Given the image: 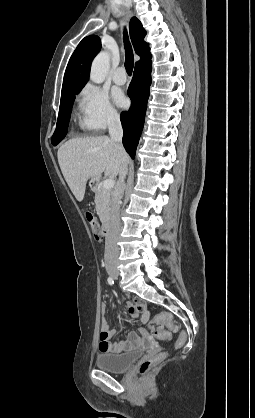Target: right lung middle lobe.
<instances>
[{
    "instance_id": "right-lung-middle-lobe-1",
    "label": "right lung middle lobe",
    "mask_w": 255,
    "mask_h": 418,
    "mask_svg": "<svg viewBox=\"0 0 255 418\" xmlns=\"http://www.w3.org/2000/svg\"><path fill=\"white\" fill-rule=\"evenodd\" d=\"M80 90H74L61 94L59 116L55 132L52 136L53 145H57L60 141H62L67 133L72 105L74 103L75 96L80 92Z\"/></svg>"
}]
</instances>
